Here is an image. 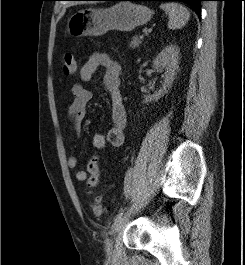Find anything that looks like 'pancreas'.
<instances>
[{"label":"pancreas","mask_w":245,"mask_h":265,"mask_svg":"<svg viewBox=\"0 0 245 265\" xmlns=\"http://www.w3.org/2000/svg\"><path fill=\"white\" fill-rule=\"evenodd\" d=\"M141 43H142L141 39L136 35L132 38L131 42L129 43V47L131 49H135L138 48Z\"/></svg>","instance_id":"1"}]
</instances>
